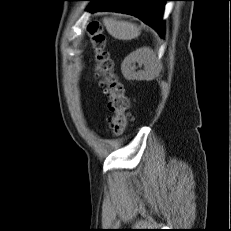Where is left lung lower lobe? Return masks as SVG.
I'll use <instances>...</instances> for the list:
<instances>
[{"label": "left lung lower lobe", "mask_w": 231, "mask_h": 231, "mask_svg": "<svg viewBox=\"0 0 231 231\" xmlns=\"http://www.w3.org/2000/svg\"><path fill=\"white\" fill-rule=\"evenodd\" d=\"M96 2L90 9L116 11L134 15L154 28L163 37L162 21L164 2L171 0H82Z\"/></svg>", "instance_id": "0a47b994"}]
</instances>
